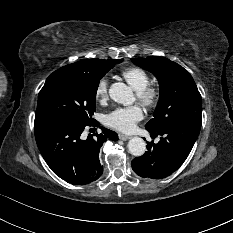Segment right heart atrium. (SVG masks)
Here are the masks:
<instances>
[{
	"label": "right heart atrium",
	"instance_id": "1",
	"mask_svg": "<svg viewBox=\"0 0 233 233\" xmlns=\"http://www.w3.org/2000/svg\"><path fill=\"white\" fill-rule=\"evenodd\" d=\"M108 96V81L106 78H101L95 88V97L98 101L106 100Z\"/></svg>",
	"mask_w": 233,
	"mask_h": 233
}]
</instances>
